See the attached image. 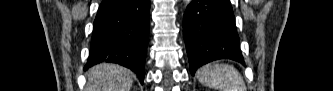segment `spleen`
<instances>
[{"label":"spleen","instance_id":"3e777b00","mask_svg":"<svg viewBox=\"0 0 333 91\" xmlns=\"http://www.w3.org/2000/svg\"><path fill=\"white\" fill-rule=\"evenodd\" d=\"M199 82L217 91H246L241 74L228 64H208L197 71Z\"/></svg>","mask_w":333,"mask_h":91}]
</instances>
